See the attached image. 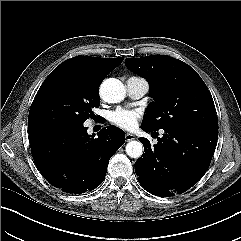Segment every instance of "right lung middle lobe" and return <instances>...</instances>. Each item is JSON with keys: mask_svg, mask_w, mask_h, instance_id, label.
<instances>
[{"mask_svg": "<svg viewBox=\"0 0 241 241\" xmlns=\"http://www.w3.org/2000/svg\"><path fill=\"white\" fill-rule=\"evenodd\" d=\"M98 90L85 86L65 66H57L37 92L28 116V130L83 124L99 107Z\"/></svg>", "mask_w": 241, "mask_h": 241, "instance_id": "1", "label": "right lung middle lobe"}]
</instances>
